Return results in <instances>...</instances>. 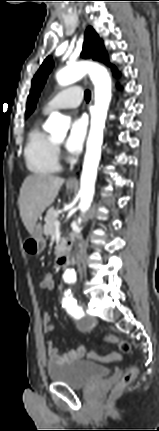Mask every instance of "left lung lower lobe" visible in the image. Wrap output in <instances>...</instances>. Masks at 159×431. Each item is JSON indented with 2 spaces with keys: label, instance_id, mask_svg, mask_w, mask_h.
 <instances>
[{
  "label": "left lung lower lobe",
  "instance_id": "left-lung-lower-lobe-1",
  "mask_svg": "<svg viewBox=\"0 0 159 431\" xmlns=\"http://www.w3.org/2000/svg\"><path fill=\"white\" fill-rule=\"evenodd\" d=\"M114 74H115V75H117V74H118L117 70L114 72Z\"/></svg>",
  "mask_w": 159,
  "mask_h": 431
}]
</instances>
